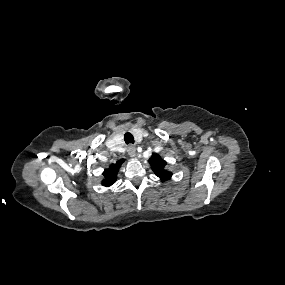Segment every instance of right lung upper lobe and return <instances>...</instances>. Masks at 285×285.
Masks as SVG:
<instances>
[{
	"mask_svg": "<svg viewBox=\"0 0 285 285\" xmlns=\"http://www.w3.org/2000/svg\"><path fill=\"white\" fill-rule=\"evenodd\" d=\"M123 159L116 162V164L110 165L108 169H105L103 172L104 179L102 181V185L109 187L115 183L117 177V171L119 166L123 163Z\"/></svg>",
	"mask_w": 285,
	"mask_h": 285,
	"instance_id": "obj_1",
	"label": "right lung upper lobe"
}]
</instances>
